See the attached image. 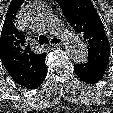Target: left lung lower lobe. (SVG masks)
Returning <instances> with one entry per match:
<instances>
[{"label": "left lung lower lobe", "instance_id": "1", "mask_svg": "<svg viewBox=\"0 0 113 113\" xmlns=\"http://www.w3.org/2000/svg\"><path fill=\"white\" fill-rule=\"evenodd\" d=\"M105 71V67L90 62H86L84 64L81 63L74 66V72L76 75L86 83H97L102 79Z\"/></svg>", "mask_w": 113, "mask_h": 113}]
</instances>
